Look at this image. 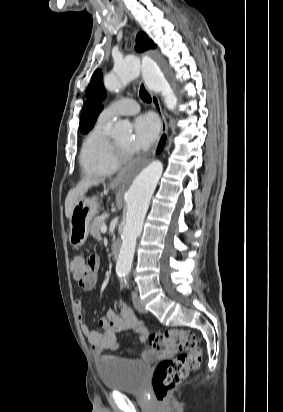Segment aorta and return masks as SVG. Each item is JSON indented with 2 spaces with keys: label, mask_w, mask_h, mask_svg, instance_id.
I'll list each match as a JSON object with an SVG mask.
<instances>
[{
  "label": "aorta",
  "mask_w": 283,
  "mask_h": 412,
  "mask_svg": "<svg viewBox=\"0 0 283 412\" xmlns=\"http://www.w3.org/2000/svg\"><path fill=\"white\" fill-rule=\"evenodd\" d=\"M142 76L146 85L160 92L168 109L173 110L177 98L162 72L159 64L149 56L130 57L120 63L115 73L104 79V86L115 91L126 86L130 81ZM130 129V124L119 121L110 132L112 137L120 136ZM163 166L159 161L129 171L122 181V191L126 199V219L121 234L122 245L116 263V274L124 277L129 274L134 258L136 240L142 232L144 218L149 208L151 197L162 175Z\"/></svg>",
  "instance_id": "obj_1"
}]
</instances>
